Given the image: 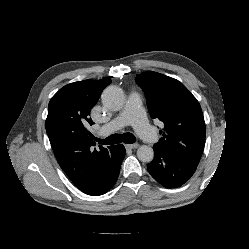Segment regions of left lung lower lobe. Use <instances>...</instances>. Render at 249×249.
<instances>
[{"label":"left lung lower lobe","instance_id":"0a47b994","mask_svg":"<svg viewBox=\"0 0 249 249\" xmlns=\"http://www.w3.org/2000/svg\"><path fill=\"white\" fill-rule=\"evenodd\" d=\"M154 153V159L147 169L157 182L167 188L181 186L197 168L163 147L154 146Z\"/></svg>","mask_w":249,"mask_h":249}]
</instances>
